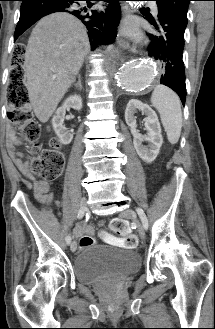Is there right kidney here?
I'll list each match as a JSON object with an SVG mask.
<instances>
[{
  "label": "right kidney",
  "instance_id": "1",
  "mask_svg": "<svg viewBox=\"0 0 215 329\" xmlns=\"http://www.w3.org/2000/svg\"><path fill=\"white\" fill-rule=\"evenodd\" d=\"M73 108L74 110H81L82 108V98L80 95H72L68 97L63 105L56 110L55 115L52 118V126L54 132L59 138V141L67 145L73 139V134L70 133L67 128L63 125L64 118L66 114V108Z\"/></svg>",
  "mask_w": 215,
  "mask_h": 329
}]
</instances>
